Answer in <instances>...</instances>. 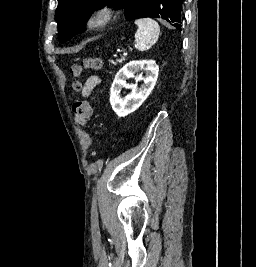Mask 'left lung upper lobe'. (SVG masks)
I'll return each mask as SVG.
<instances>
[{"label":"left lung upper lobe","mask_w":256,"mask_h":267,"mask_svg":"<svg viewBox=\"0 0 256 267\" xmlns=\"http://www.w3.org/2000/svg\"><path fill=\"white\" fill-rule=\"evenodd\" d=\"M106 4L125 7L128 20L156 17L166 20L175 27V0H58L56 19L59 41L64 43L79 31H83L91 12Z\"/></svg>","instance_id":"left-lung-upper-lobe-1"}]
</instances>
